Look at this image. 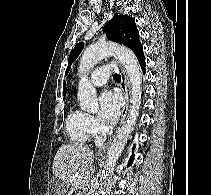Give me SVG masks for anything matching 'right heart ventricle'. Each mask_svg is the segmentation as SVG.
Segmentation results:
<instances>
[{"instance_id":"right-heart-ventricle-1","label":"right heart ventricle","mask_w":211,"mask_h":195,"mask_svg":"<svg viewBox=\"0 0 211 195\" xmlns=\"http://www.w3.org/2000/svg\"><path fill=\"white\" fill-rule=\"evenodd\" d=\"M66 130L71 140L78 145H86L90 140V133L87 127V114L72 109L66 120Z\"/></svg>"}]
</instances>
